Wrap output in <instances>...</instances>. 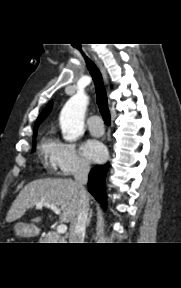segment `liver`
I'll return each mask as SVG.
<instances>
[{"mask_svg":"<svg viewBox=\"0 0 181 288\" xmlns=\"http://www.w3.org/2000/svg\"><path fill=\"white\" fill-rule=\"evenodd\" d=\"M88 199H89V194ZM79 189L72 179H39L28 183L19 193L8 211L6 221L13 222L21 218L27 209L38 202L54 204L62 211L61 222L70 223L77 215ZM41 217L32 219L40 222Z\"/></svg>","mask_w":181,"mask_h":288,"instance_id":"6515ba94","label":"liver"}]
</instances>
